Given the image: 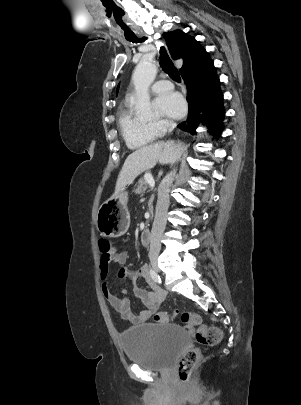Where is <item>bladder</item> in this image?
I'll return each mask as SVG.
<instances>
[{"mask_svg":"<svg viewBox=\"0 0 301 405\" xmlns=\"http://www.w3.org/2000/svg\"><path fill=\"white\" fill-rule=\"evenodd\" d=\"M120 341L127 359L145 369L167 372L189 342L177 325L147 323L126 329Z\"/></svg>","mask_w":301,"mask_h":405,"instance_id":"31cf9c89","label":"bladder"}]
</instances>
